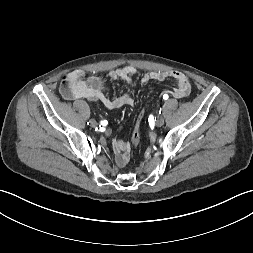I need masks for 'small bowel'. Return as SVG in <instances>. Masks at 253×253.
Returning <instances> with one entry per match:
<instances>
[{"instance_id": "small-bowel-1", "label": "small bowel", "mask_w": 253, "mask_h": 253, "mask_svg": "<svg viewBox=\"0 0 253 253\" xmlns=\"http://www.w3.org/2000/svg\"><path fill=\"white\" fill-rule=\"evenodd\" d=\"M136 72L134 67L124 66L111 70L109 77L112 80L120 79L131 83ZM166 79H173L176 83V86L168 92L172 97L183 98L190 93L191 85L188 77L177 70L151 71L142 76L141 82L146 84L152 81H164ZM60 91L62 96L67 100L85 98L98 101L109 110L134 105V100L128 93H124L115 98H109L104 93L103 81L96 76L86 77L85 72L82 70H74L68 73L63 79ZM106 134L109 135V131H106ZM111 145L116 153V166L119 168L124 167L129 160V144L120 139H112Z\"/></svg>"}]
</instances>
